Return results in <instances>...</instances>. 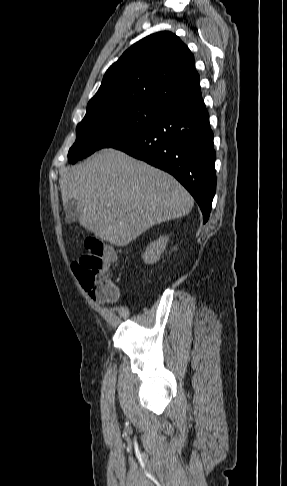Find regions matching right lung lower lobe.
I'll return each mask as SVG.
<instances>
[{
  "label": "right lung lower lobe",
  "mask_w": 287,
  "mask_h": 486,
  "mask_svg": "<svg viewBox=\"0 0 287 486\" xmlns=\"http://www.w3.org/2000/svg\"><path fill=\"white\" fill-rule=\"evenodd\" d=\"M113 148L172 174L207 222L216 190L215 151L201 94L169 108L139 135Z\"/></svg>",
  "instance_id": "right-lung-lower-lobe-1"
}]
</instances>
